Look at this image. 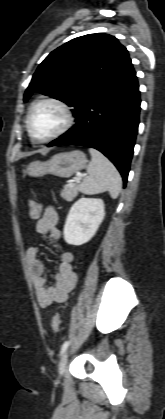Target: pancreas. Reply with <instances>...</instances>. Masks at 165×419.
Wrapping results in <instances>:
<instances>
[{
	"mask_svg": "<svg viewBox=\"0 0 165 419\" xmlns=\"http://www.w3.org/2000/svg\"><path fill=\"white\" fill-rule=\"evenodd\" d=\"M79 185L77 183L67 184L61 191V197L71 202L78 195Z\"/></svg>",
	"mask_w": 165,
	"mask_h": 419,
	"instance_id": "cf45deb5",
	"label": "pancreas"
}]
</instances>
